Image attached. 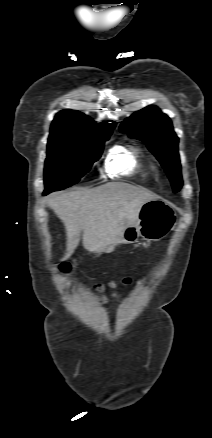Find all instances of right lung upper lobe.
Segmentation results:
<instances>
[{"label": "right lung upper lobe", "mask_w": 212, "mask_h": 438, "mask_svg": "<svg viewBox=\"0 0 212 438\" xmlns=\"http://www.w3.org/2000/svg\"><path fill=\"white\" fill-rule=\"evenodd\" d=\"M115 123L97 124L79 111L63 110L55 116L51 125L50 136L71 138L110 136Z\"/></svg>", "instance_id": "obj_1"}]
</instances>
